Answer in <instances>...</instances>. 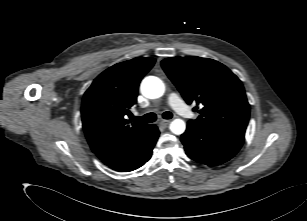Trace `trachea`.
Here are the masks:
<instances>
[{
	"instance_id": "obj_1",
	"label": "trachea",
	"mask_w": 307,
	"mask_h": 221,
	"mask_svg": "<svg viewBox=\"0 0 307 221\" xmlns=\"http://www.w3.org/2000/svg\"><path fill=\"white\" fill-rule=\"evenodd\" d=\"M163 118L164 119H171L172 118V113L170 112H164L163 113ZM156 114L155 113H148L142 117H133V121L141 122V123H152L156 121Z\"/></svg>"
}]
</instances>
